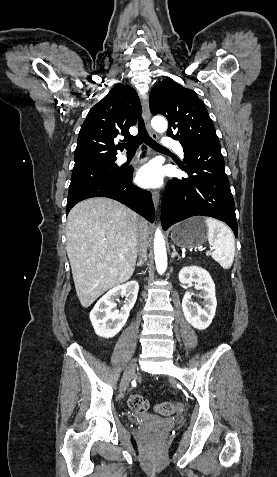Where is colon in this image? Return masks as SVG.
<instances>
[{
	"instance_id": "obj_1",
	"label": "colon",
	"mask_w": 277,
	"mask_h": 477,
	"mask_svg": "<svg viewBox=\"0 0 277 477\" xmlns=\"http://www.w3.org/2000/svg\"><path fill=\"white\" fill-rule=\"evenodd\" d=\"M129 407L136 412H145L148 407V401L141 395L135 394L129 398L128 401ZM183 409L180 403H174L170 401L162 402L155 406L156 412L162 415H172L174 413H179Z\"/></svg>"
}]
</instances>
